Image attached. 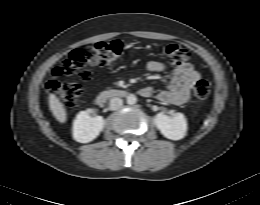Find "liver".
<instances>
[{
  "label": "liver",
  "instance_id": "1",
  "mask_svg": "<svg viewBox=\"0 0 260 205\" xmlns=\"http://www.w3.org/2000/svg\"><path fill=\"white\" fill-rule=\"evenodd\" d=\"M49 108L58 122H66L67 113L64 104L52 93L49 95Z\"/></svg>",
  "mask_w": 260,
  "mask_h": 205
}]
</instances>
